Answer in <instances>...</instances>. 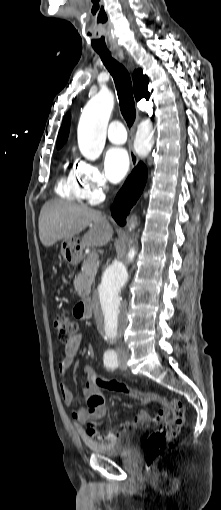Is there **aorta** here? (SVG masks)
Masks as SVG:
<instances>
[{"mask_svg": "<svg viewBox=\"0 0 221 510\" xmlns=\"http://www.w3.org/2000/svg\"><path fill=\"white\" fill-rule=\"evenodd\" d=\"M113 106V94L104 89L91 98L83 109L78 124V146L81 154L89 160H96L103 151ZM151 132V122L145 121L139 125L134 143L139 155L145 156L151 150ZM135 253L134 248L129 249L128 261L133 260ZM126 283L125 264L120 260L114 261L105 269L93 296L94 313L100 329L111 342L119 337L126 325V306L122 298Z\"/></svg>", "mask_w": 221, "mask_h": 510, "instance_id": "aorta-1", "label": "aorta"}]
</instances>
